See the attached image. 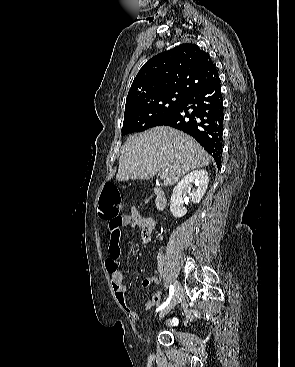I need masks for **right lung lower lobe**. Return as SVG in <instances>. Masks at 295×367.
<instances>
[{
  "instance_id": "1",
  "label": "right lung lower lobe",
  "mask_w": 295,
  "mask_h": 367,
  "mask_svg": "<svg viewBox=\"0 0 295 367\" xmlns=\"http://www.w3.org/2000/svg\"><path fill=\"white\" fill-rule=\"evenodd\" d=\"M223 119V100L218 77L190 94L177 110L156 121L152 127L171 126L191 135L211 154L220 168Z\"/></svg>"
}]
</instances>
